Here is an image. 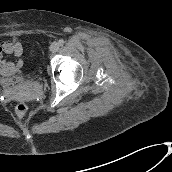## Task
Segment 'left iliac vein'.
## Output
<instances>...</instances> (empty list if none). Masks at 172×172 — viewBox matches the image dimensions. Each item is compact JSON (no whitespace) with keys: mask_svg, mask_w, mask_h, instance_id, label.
Masks as SVG:
<instances>
[{"mask_svg":"<svg viewBox=\"0 0 172 172\" xmlns=\"http://www.w3.org/2000/svg\"><path fill=\"white\" fill-rule=\"evenodd\" d=\"M58 49H59V44L57 42H53L50 46V51L52 53H55L58 51Z\"/></svg>","mask_w":172,"mask_h":172,"instance_id":"4c4485c4","label":"left iliac vein"}]
</instances>
